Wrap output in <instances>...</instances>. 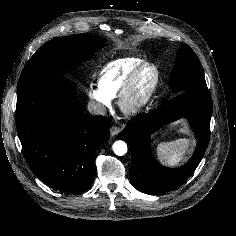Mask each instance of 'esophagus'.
Segmentation results:
<instances>
[{"label":"esophagus","mask_w":236,"mask_h":236,"mask_svg":"<svg viewBox=\"0 0 236 236\" xmlns=\"http://www.w3.org/2000/svg\"><path fill=\"white\" fill-rule=\"evenodd\" d=\"M119 132H120V129H119L118 127H116V126H112V127L110 128V134H111V136H115V135H117Z\"/></svg>","instance_id":"34e87169"}]
</instances>
